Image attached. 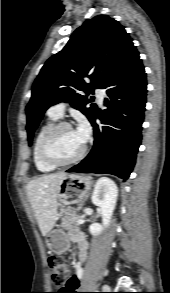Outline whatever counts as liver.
I'll return each mask as SVG.
<instances>
[{
	"instance_id": "obj_1",
	"label": "liver",
	"mask_w": 170,
	"mask_h": 293,
	"mask_svg": "<svg viewBox=\"0 0 170 293\" xmlns=\"http://www.w3.org/2000/svg\"><path fill=\"white\" fill-rule=\"evenodd\" d=\"M66 172L43 175L26 186L27 196L40 231L46 236L54 227L58 213L57 192Z\"/></svg>"
}]
</instances>
